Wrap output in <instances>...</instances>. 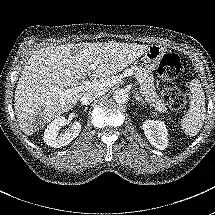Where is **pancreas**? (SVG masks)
I'll list each match as a JSON object with an SVG mask.
<instances>
[{"instance_id":"pancreas-1","label":"pancreas","mask_w":215,"mask_h":215,"mask_svg":"<svg viewBox=\"0 0 215 215\" xmlns=\"http://www.w3.org/2000/svg\"><path fill=\"white\" fill-rule=\"evenodd\" d=\"M127 70L130 71L139 81V88L141 90L140 94L145 98V101L149 104V106L154 108L157 112H165L166 106L155 92L153 84L154 78L150 71L137 65H133Z\"/></svg>"}]
</instances>
